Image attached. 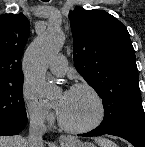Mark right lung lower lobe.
<instances>
[{
  "label": "right lung lower lobe",
  "mask_w": 145,
  "mask_h": 147,
  "mask_svg": "<svg viewBox=\"0 0 145 147\" xmlns=\"http://www.w3.org/2000/svg\"><path fill=\"white\" fill-rule=\"evenodd\" d=\"M26 124H27V118L24 121L15 125L0 126V136L16 135L23 130Z\"/></svg>",
  "instance_id": "98d812e1"
}]
</instances>
